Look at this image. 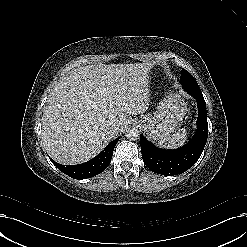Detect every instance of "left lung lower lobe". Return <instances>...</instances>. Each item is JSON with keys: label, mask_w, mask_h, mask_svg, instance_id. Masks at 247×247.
Returning <instances> with one entry per match:
<instances>
[{"label": "left lung lower lobe", "mask_w": 247, "mask_h": 247, "mask_svg": "<svg viewBox=\"0 0 247 247\" xmlns=\"http://www.w3.org/2000/svg\"><path fill=\"white\" fill-rule=\"evenodd\" d=\"M198 104L197 131L183 147L175 150L160 149L140 135L144 164L153 172L166 176L178 175L192 167L201 156L208 137L206 104L198 85L182 86Z\"/></svg>", "instance_id": "left-lung-lower-lobe-1"}]
</instances>
